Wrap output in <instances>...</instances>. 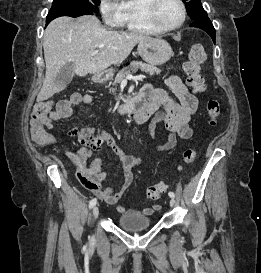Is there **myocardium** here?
I'll list each match as a JSON object with an SVG mask.
<instances>
[{
	"label": "myocardium",
	"instance_id": "1",
	"mask_svg": "<svg viewBox=\"0 0 261 273\" xmlns=\"http://www.w3.org/2000/svg\"><path fill=\"white\" fill-rule=\"evenodd\" d=\"M176 1L179 4L181 9V13H182L181 20L178 24H176L173 27H165L160 23L158 19V15H157V12L162 0H150V3L148 5V19L150 23L160 32H173L179 29L185 23L186 17H187V10H186L185 4L182 0H176Z\"/></svg>",
	"mask_w": 261,
	"mask_h": 273
}]
</instances>
